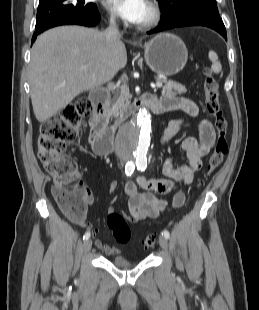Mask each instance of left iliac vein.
<instances>
[{"instance_id": "obj_1", "label": "left iliac vein", "mask_w": 259, "mask_h": 310, "mask_svg": "<svg viewBox=\"0 0 259 310\" xmlns=\"http://www.w3.org/2000/svg\"><path fill=\"white\" fill-rule=\"evenodd\" d=\"M159 244L164 251L168 250V240L165 236H160Z\"/></svg>"}]
</instances>
